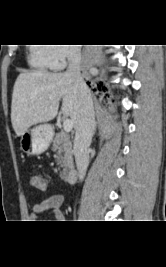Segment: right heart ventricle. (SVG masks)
Listing matches in <instances>:
<instances>
[{
  "label": "right heart ventricle",
  "instance_id": "right-heart-ventricle-1",
  "mask_svg": "<svg viewBox=\"0 0 166 267\" xmlns=\"http://www.w3.org/2000/svg\"><path fill=\"white\" fill-rule=\"evenodd\" d=\"M28 65L38 71H47L53 68L51 47L47 44H31L27 54Z\"/></svg>",
  "mask_w": 166,
  "mask_h": 267
}]
</instances>
